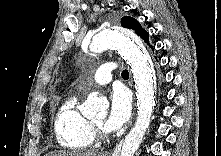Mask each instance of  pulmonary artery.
Masks as SVG:
<instances>
[{
    "label": "pulmonary artery",
    "instance_id": "e3ab8cb5",
    "mask_svg": "<svg viewBox=\"0 0 221 156\" xmlns=\"http://www.w3.org/2000/svg\"><path fill=\"white\" fill-rule=\"evenodd\" d=\"M116 69V64L113 62H106L102 64L91 78V84L103 85L112 80V72Z\"/></svg>",
    "mask_w": 221,
    "mask_h": 156
}]
</instances>
